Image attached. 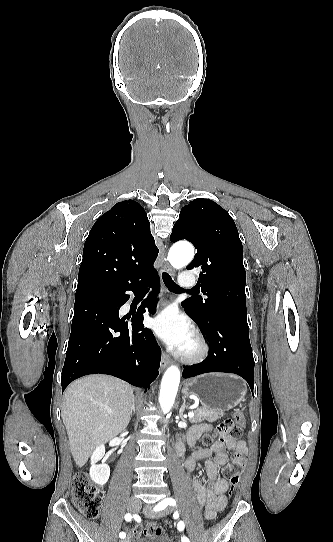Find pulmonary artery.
Listing matches in <instances>:
<instances>
[{"label": "pulmonary artery", "instance_id": "pulmonary-artery-1", "mask_svg": "<svg viewBox=\"0 0 333 542\" xmlns=\"http://www.w3.org/2000/svg\"><path fill=\"white\" fill-rule=\"evenodd\" d=\"M194 281L195 276L192 275V269L186 268L185 273L180 275L179 280L177 281V286L185 289L192 288L194 286Z\"/></svg>", "mask_w": 333, "mask_h": 542}]
</instances>
